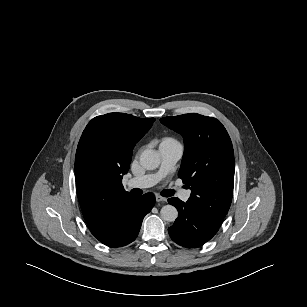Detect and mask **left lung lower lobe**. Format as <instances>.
Segmentation results:
<instances>
[{
    "instance_id": "obj_1",
    "label": "left lung lower lobe",
    "mask_w": 307,
    "mask_h": 307,
    "mask_svg": "<svg viewBox=\"0 0 307 307\" xmlns=\"http://www.w3.org/2000/svg\"><path fill=\"white\" fill-rule=\"evenodd\" d=\"M168 202L178 210V218L168 228L171 239L177 244L188 248L198 247L217 233L220 225L204 218L187 203L175 197L168 199Z\"/></svg>"
}]
</instances>
